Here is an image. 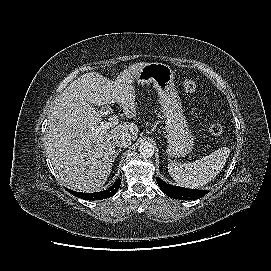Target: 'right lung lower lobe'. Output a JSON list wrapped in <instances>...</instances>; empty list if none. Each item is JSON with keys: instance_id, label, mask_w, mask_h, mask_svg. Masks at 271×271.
<instances>
[{"instance_id": "obj_1", "label": "right lung lower lobe", "mask_w": 271, "mask_h": 271, "mask_svg": "<svg viewBox=\"0 0 271 271\" xmlns=\"http://www.w3.org/2000/svg\"><path fill=\"white\" fill-rule=\"evenodd\" d=\"M121 184V179L118 178L114 185H112L110 188L101 191V192H94V193H82V192H76L72 191L70 189H66L69 193L72 195L79 197L81 199H86V200H101V199H106L111 196H113L117 190L119 189Z\"/></svg>"}]
</instances>
